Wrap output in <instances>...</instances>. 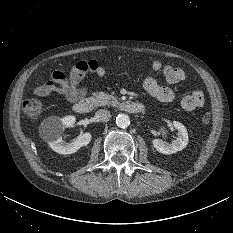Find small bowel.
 <instances>
[{"instance_id": "obj_1", "label": "small bowel", "mask_w": 233, "mask_h": 233, "mask_svg": "<svg viewBox=\"0 0 233 233\" xmlns=\"http://www.w3.org/2000/svg\"><path fill=\"white\" fill-rule=\"evenodd\" d=\"M151 69L162 71L169 84L182 82L186 77L182 69L171 65L164 66L158 60L151 62ZM88 74L105 77L107 69L94 59L79 61L68 76L61 71H54L48 81L35 89V93L39 96H47L56 92L63 95L68 101L74 102L86 95L88 86L83 82ZM143 87L150 96L161 102H172L175 99L174 91L169 87L159 85L152 76H147L144 79ZM204 104V93L198 89L190 91L181 101L182 108L188 112L202 108Z\"/></svg>"}]
</instances>
